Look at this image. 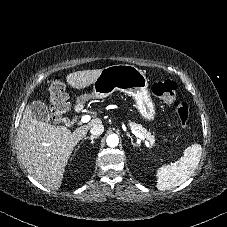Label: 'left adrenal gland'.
Wrapping results in <instances>:
<instances>
[{
	"mask_svg": "<svg viewBox=\"0 0 227 227\" xmlns=\"http://www.w3.org/2000/svg\"><path fill=\"white\" fill-rule=\"evenodd\" d=\"M127 136L130 138L131 144H132L134 147H136L137 145L133 142L132 136H131L130 134H128V133H127Z\"/></svg>",
	"mask_w": 227,
	"mask_h": 227,
	"instance_id": "obj_1",
	"label": "left adrenal gland"
}]
</instances>
